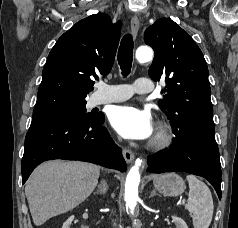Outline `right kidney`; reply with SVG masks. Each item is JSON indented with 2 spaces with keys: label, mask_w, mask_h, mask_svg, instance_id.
<instances>
[{
  "label": "right kidney",
  "mask_w": 238,
  "mask_h": 228,
  "mask_svg": "<svg viewBox=\"0 0 238 228\" xmlns=\"http://www.w3.org/2000/svg\"><path fill=\"white\" fill-rule=\"evenodd\" d=\"M74 219V216L69 217L64 223L62 228H70V225L72 224V221Z\"/></svg>",
  "instance_id": "right-kidney-1"
}]
</instances>
